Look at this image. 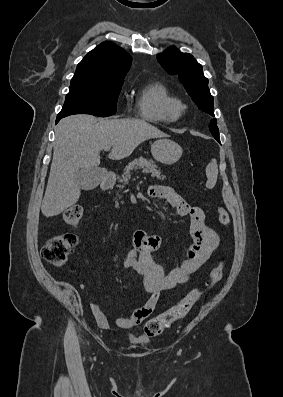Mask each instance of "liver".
I'll list each match as a JSON object with an SVG mask.
<instances>
[{"instance_id": "obj_1", "label": "liver", "mask_w": 283, "mask_h": 397, "mask_svg": "<svg viewBox=\"0 0 283 397\" xmlns=\"http://www.w3.org/2000/svg\"><path fill=\"white\" fill-rule=\"evenodd\" d=\"M167 135L141 119H97L79 114L63 118L55 129L53 159L41 205L44 216L61 214L80 197L76 174L82 168H97L100 151L112 150L108 157L121 160L142 142Z\"/></svg>"}]
</instances>
